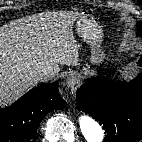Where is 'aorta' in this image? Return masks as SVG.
<instances>
[{
    "instance_id": "762f6f07",
    "label": "aorta",
    "mask_w": 142,
    "mask_h": 142,
    "mask_svg": "<svg viewBox=\"0 0 142 142\" xmlns=\"http://www.w3.org/2000/svg\"><path fill=\"white\" fill-rule=\"evenodd\" d=\"M80 129L87 142H102L104 139L103 129L91 118H82Z\"/></svg>"
}]
</instances>
